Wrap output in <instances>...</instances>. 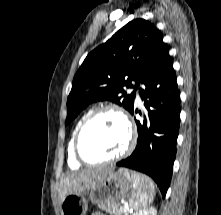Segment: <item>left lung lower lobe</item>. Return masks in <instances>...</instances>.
Segmentation results:
<instances>
[{
  "label": "left lung lower lobe",
  "mask_w": 221,
  "mask_h": 215,
  "mask_svg": "<svg viewBox=\"0 0 221 215\" xmlns=\"http://www.w3.org/2000/svg\"><path fill=\"white\" fill-rule=\"evenodd\" d=\"M141 83L145 88H140L139 94L145 101L146 111L143 125L136 121L139 133L137 146L131 156L116 165L149 175L157 183L164 198L172 177L180 124V92L169 49L165 44ZM134 112L133 107L130 113Z\"/></svg>",
  "instance_id": "left-lung-lower-lobe-1"
}]
</instances>
